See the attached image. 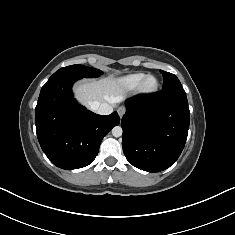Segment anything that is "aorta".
<instances>
[{"instance_id": "1", "label": "aorta", "mask_w": 235, "mask_h": 235, "mask_svg": "<svg viewBox=\"0 0 235 235\" xmlns=\"http://www.w3.org/2000/svg\"><path fill=\"white\" fill-rule=\"evenodd\" d=\"M122 128L121 126H115L113 129H112V135L114 137H120L122 135Z\"/></svg>"}]
</instances>
